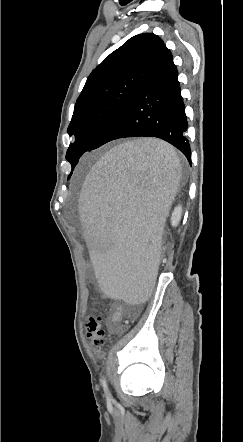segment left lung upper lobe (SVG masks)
<instances>
[{
    "instance_id": "left-lung-upper-lobe-1",
    "label": "left lung upper lobe",
    "mask_w": 243,
    "mask_h": 442,
    "mask_svg": "<svg viewBox=\"0 0 243 442\" xmlns=\"http://www.w3.org/2000/svg\"><path fill=\"white\" fill-rule=\"evenodd\" d=\"M166 50L153 33L133 36L112 52L87 78L75 104L66 159L72 169L103 134L119 108L141 84Z\"/></svg>"
}]
</instances>
